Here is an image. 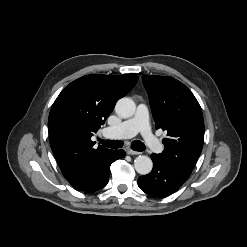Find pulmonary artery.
I'll list each match as a JSON object with an SVG mask.
<instances>
[{
	"label": "pulmonary artery",
	"instance_id": "pulmonary-artery-1",
	"mask_svg": "<svg viewBox=\"0 0 247 247\" xmlns=\"http://www.w3.org/2000/svg\"><path fill=\"white\" fill-rule=\"evenodd\" d=\"M137 133L142 135L145 143L152 151L156 153L162 152L163 145L151 132L148 108L143 103L137 106L135 115L132 118L104 130L106 136L119 139L130 138Z\"/></svg>",
	"mask_w": 247,
	"mask_h": 247
}]
</instances>
